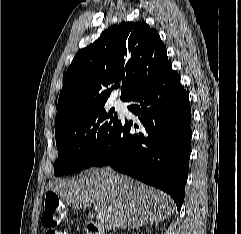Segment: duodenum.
Here are the masks:
<instances>
[{
    "mask_svg": "<svg viewBox=\"0 0 241 234\" xmlns=\"http://www.w3.org/2000/svg\"><path fill=\"white\" fill-rule=\"evenodd\" d=\"M84 226L87 234H105L103 228L93 221L86 220Z\"/></svg>",
    "mask_w": 241,
    "mask_h": 234,
    "instance_id": "1",
    "label": "duodenum"
}]
</instances>
